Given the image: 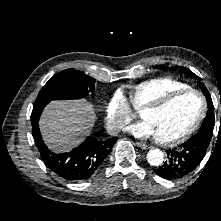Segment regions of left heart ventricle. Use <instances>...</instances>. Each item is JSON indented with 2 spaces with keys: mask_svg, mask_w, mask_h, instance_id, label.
I'll use <instances>...</instances> for the list:
<instances>
[{
  "mask_svg": "<svg viewBox=\"0 0 221 221\" xmlns=\"http://www.w3.org/2000/svg\"><path fill=\"white\" fill-rule=\"evenodd\" d=\"M201 109V101L195 94H185L156 112L142 115L155 134V137L168 139L181 134L196 119Z\"/></svg>",
  "mask_w": 221,
  "mask_h": 221,
  "instance_id": "1",
  "label": "left heart ventricle"
}]
</instances>
